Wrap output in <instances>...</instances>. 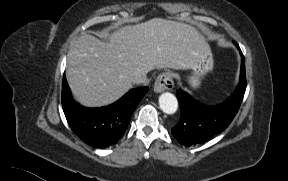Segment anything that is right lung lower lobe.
<instances>
[{"label": "right lung lower lobe", "instance_id": "1", "mask_svg": "<svg viewBox=\"0 0 288 181\" xmlns=\"http://www.w3.org/2000/svg\"><path fill=\"white\" fill-rule=\"evenodd\" d=\"M147 91L148 87L132 89L112 105L86 108L73 100L64 77L63 111L71 129L82 141L96 148H106L124 135L132 113Z\"/></svg>", "mask_w": 288, "mask_h": 181}]
</instances>
